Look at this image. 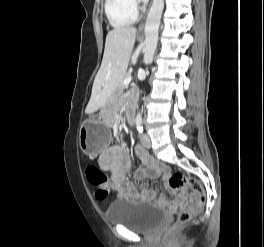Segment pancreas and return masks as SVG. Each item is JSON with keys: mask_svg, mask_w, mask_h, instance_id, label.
I'll return each instance as SVG.
<instances>
[{"mask_svg": "<svg viewBox=\"0 0 264 247\" xmlns=\"http://www.w3.org/2000/svg\"><path fill=\"white\" fill-rule=\"evenodd\" d=\"M127 76H129V74H125V76L123 77L122 81L119 83V85H118V87H117V90H116V95H120V94L123 92V90H124V88H125V85H123V80H124Z\"/></svg>", "mask_w": 264, "mask_h": 247, "instance_id": "pancreas-1", "label": "pancreas"}]
</instances>
